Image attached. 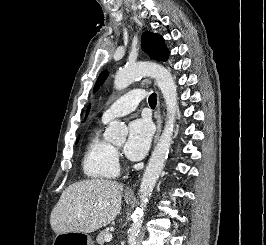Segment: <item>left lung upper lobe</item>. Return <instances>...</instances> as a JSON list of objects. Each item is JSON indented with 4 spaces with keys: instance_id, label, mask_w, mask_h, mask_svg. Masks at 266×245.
Masks as SVG:
<instances>
[{
    "instance_id": "obj_1",
    "label": "left lung upper lobe",
    "mask_w": 266,
    "mask_h": 245,
    "mask_svg": "<svg viewBox=\"0 0 266 245\" xmlns=\"http://www.w3.org/2000/svg\"><path fill=\"white\" fill-rule=\"evenodd\" d=\"M142 49L145 51L152 59L157 61H165L168 57L169 51L164 44L163 38L155 33L144 32L142 35ZM107 77V72L104 71L100 74L94 90L98 88L99 85L103 83Z\"/></svg>"
}]
</instances>
